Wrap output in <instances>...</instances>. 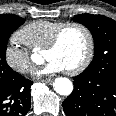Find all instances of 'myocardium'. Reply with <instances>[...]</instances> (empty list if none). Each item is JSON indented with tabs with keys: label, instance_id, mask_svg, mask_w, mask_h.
<instances>
[{
	"label": "myocardium",
	"instance_id": "1",
	"mask_svg": "<svg viewBox=\"0 0 116 116\" xmlns=\"http://www.w3.org/2000/svg\"><path fill=\"white\" fill-rule=\"evenodd\" d=\"M73 27L81 29L86 34L88 46H87V52H86L84 59L77 66L66 70V73L69 75L79 74L90 65V63L94 57V53H95V40H94L92 31L86 25L79 23V22L64 23L62 26H60L55 31L51 40L44 48V51H49V50L55 49L58 46L64 32L66 30H68L69 28H73Z\"/></svg>",
	"mask_w": 116,
	"mask_h": 116
}]
</instances>
